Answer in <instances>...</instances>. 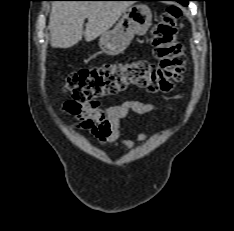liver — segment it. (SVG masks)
Returning a JSON list of instances; mask_svg holds the SVG:
<instances>
[{
  "mask_svg": "<svg viewBox=\"0 0 234 231\" xmlns=\"http://www.w3.org/2000/svg\"><path fill=\"white\" fill-rule=\"evenodd\" d=\"M132 5L131 1H57L49 19L50 43L56 48H70L84 35L90 42L107 32ZM86 29L83 30L85 19Z\"/></svg>",
  "mask_w": 234,
  "mask_h": 231,
  "instance_id": "obj_1",
  "label": "liver"
}]
</instances>
